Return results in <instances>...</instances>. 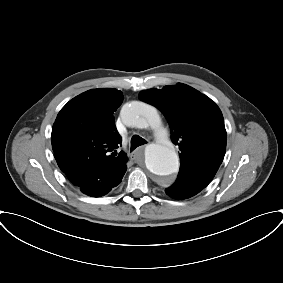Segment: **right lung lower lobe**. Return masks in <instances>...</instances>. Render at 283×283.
<instances>
[{
	"instance_id": "1",
	"label": "right lung lower lobe",
	"mask_w": 283,
	"mask_h": 283,
	"mask_svg": "<svg viewBox=\"0 0 283 283\" xmlns=\"http://www.w3.org/2000/svg\"><path fill=\"white\" fill-rule=\"evenodd\" d=\"M127 170V168H126ZM109 172L105 171L102 172L99 175V178H95L92 180H89L85 182L83 185L80 186V189L83 193L93 196V197H99L107 194L113 187H116L118 184H120L123 176L119 178H115L113 181H111V177H109ZM108 178V180H107ZM106 180L108 182H106Z\"/></svg>"
}]
</instances>
